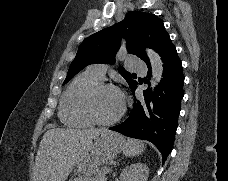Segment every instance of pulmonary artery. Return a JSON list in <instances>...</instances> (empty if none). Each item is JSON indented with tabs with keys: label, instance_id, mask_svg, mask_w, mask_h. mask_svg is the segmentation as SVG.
<instances>
[{
	"label": "pulmonary artery",
	"instance_id": "e3ab8cb5",
	"mask_svg": "<svg viewBox=\"0 0 228 181\" xmlns=\"http://www.w3.org/2000/svg\"><path fill=\"white\" fill-rule=\"evenodd\" d=\"M126 62H137V57H126ZM103 66V62H96L95 65H90V70H86V75H94L98 79H102L104 74L98 73V70ZM133 71H147V66H133Z\"/></svg>",
	"mask_w": 228,
	"mask_h": 181
}]
</instances>
